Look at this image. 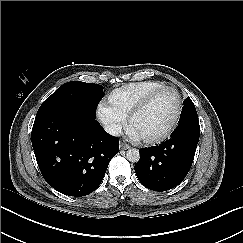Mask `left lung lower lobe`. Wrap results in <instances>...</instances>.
I'll list each match as a JSON object with an SVG mask.
<instances>
[{
	"label": "left lung lower lobe",
	"mask_w": 243,
	"mask_h": 243,
	"mask_svg": "<svg viewBox=\"0 0 243 243\" xmlns=\"http://www.w3.org/2000/svg\"><path fill=\"white\" fill-rule=\"evenodd\" d=\"M199 136L198 119L186 120L179 124L169 140L141 149L134 167L141 184L158 192L179 185L191 168Z\"/></svg>",
	"instance_id": "obj_1"
}]
</instances>
